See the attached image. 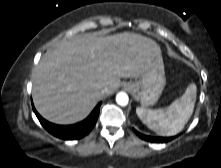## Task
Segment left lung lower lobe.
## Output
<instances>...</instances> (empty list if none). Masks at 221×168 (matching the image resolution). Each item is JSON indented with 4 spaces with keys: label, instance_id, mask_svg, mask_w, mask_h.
Here are the masks:
<instances>
[{
    "label": "left lung lower lobe",
    "instance_id": "1",
    "mask_svg": "<svg viewBox=\"0 0 221 168\" xmlns=\"http://www.w3.org/2000/svg\"><path fill=\"white\" fill-rule=\"evenodd\" d=\"M134 132L143 140L148 141V142H155V143H164L171 141L174 137H153V136H147L144 134L139 133L134 129Z\"/></svg>",
    "mask_w": 221,
    "mask_h": 168
}]
</instances>
